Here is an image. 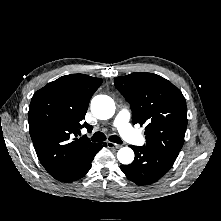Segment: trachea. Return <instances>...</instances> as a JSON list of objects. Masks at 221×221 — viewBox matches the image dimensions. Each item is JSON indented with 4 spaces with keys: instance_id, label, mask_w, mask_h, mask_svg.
<instances>
[{
    "instance_id": "obj_1",
    "label": "trachea",
    "mask_w": 221,
    "mask_h": 221,
    "mask_svg": "<svg viewBox=\"0 0 221 221\" xmlns=\"http://www.w3.org/2000/svg\"><path fill=\"white\" fill-rule=\"evenodd\" d=\"M92 141L94 142H102L106 140V136L104 135V133L102 132H96L93 136H92ZM109 140L111 142L117 143V144H122V140L117 136V135H112L109 137Z\"/></svg>"
}]
</instances>
